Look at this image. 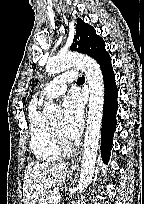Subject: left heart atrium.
<instances>
[{
    "mask_svg": "<svg viewBox=\"0 0 144 204\" xmlns=\"http://www.w3.org/2000/svg\"><path fill=\"white\" fill-rule=\"evenodd\" d=\"M63 134L69 138L74 139L79 136L83 127V102L79 96L72 94L68 96L63 102Z\"/></svg>",
    "mask_w": 144,
    "mask_h": 204,
    "instance_id": "1",
    "label": "left heart atrium"
}]
</instances>
